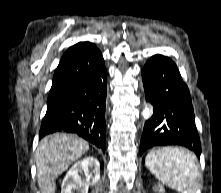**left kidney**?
I'll return each instance as SVG.
<instances>
[{
	"instance_id": "1",
	"label": "left kidney",
	"mask_w": 221,
	"mask_h": 193,
	"mask_svg": "<svg viewBox=\"0 0 221 193\" xmlns=\"http://www.w3.org/2000/svg\"><path fill=\"white\" fill-rule=\"evenodd\" d=\"M158 190H159V193H162L163 192V187L159 184V186H158Z\"/></svg>"
}]
</instances>
